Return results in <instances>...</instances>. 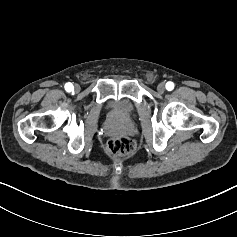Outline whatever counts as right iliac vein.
I'll list each match as a JSON object with an SVG mask.
<instances>
[{"instance_id": "1", "label": "right iliac vein", "mask_w": 237, "mask_h": 237, "mask_svg": "<svg viewBox=\"0 0 237 237\" xmlns=\"http://www.w3.org/2000/svg\"><path fill=\"white\" fill-rule=\"evenodd\" d=\"M75 90H76L77 92H79L80 87H79L78 85H75Z\"/></svg>"}]
</instances>
